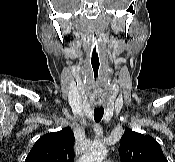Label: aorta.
I'll use <instances>...</instances> for the list:
<instances>
[{
  "label": "aorta",
  "mask_w": 175,
  "mask_h": 162,
  "mask_svg": "<svg viewBox=\"0 0 175 162\" xmlns=\"http://www.w3.org/2000/svg\"><path fill=\"white\" fill-rule=\"evenodd\" d=\"M107 155V148L102 143H94L79 162H103Z\"/></svg>",
  "instance_id": "1"
}]
</instances>
